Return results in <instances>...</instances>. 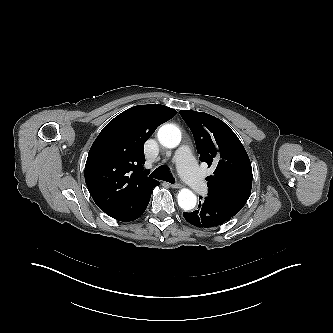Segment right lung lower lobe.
<instances>
[{"label": "right lung lower lobe", "mask_w": 333, "mask_h": 333, "mask_svg": "<svg viewBox=\"0 0 333 333\" xmlns=\"http://www.w3.org/2000/svg\"><path fill=\"white\" fill-rule=\"evenodd\" d=\"M159 185V182L148 187L146 190L135 194L121 210L107 213L112 218L129 222L139 218L145 211L151 197L153 187Z\"/></svg>", "instance_id": "obj_1"}]
</instances>
